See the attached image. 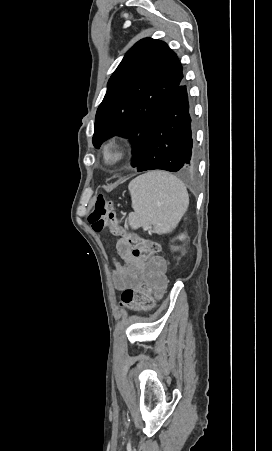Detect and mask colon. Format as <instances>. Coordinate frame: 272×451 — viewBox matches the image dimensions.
Segmentation results:
<instances>
[{"label":"colon","instance_id":"5ec220e1","mask_svg":"<svg viewBox=\"0 0 272 451\" xmlns=\"http://www.w3.org/2000/svg\"><path fill=\"white\" fill-rule=\"evenodd\" d=\"M87 220L95 232L101 233L108 229L116 238L124 233L118 214L115 212L113 203L104 195H97L94 206ZM120 250H131L132 258H147L148 254L159 251L158 244H148L141 236L131 235L128 240L123 241ZM156 271L153 272L152 284L155 285ZM152 290L145 286L137 289L127 288L123 290L119 303L126 308L145 310L152 302Z\"/></svg>","mask_w":272,"mask_h":451}]
</instances>
